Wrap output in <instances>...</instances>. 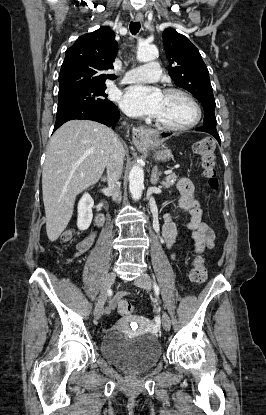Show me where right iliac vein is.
I'll list each match as a JSON object with an SVG mask.
<instances>
[{"label": "right iliac vein", "mask_w": 266, "mask_h": 415, "mask_svg": "<svg viewBox=\"0 0 266 415\" xmlns=\"http://www.w3.org/2000/svg\"><path fill=\"white\" fill-rule=\"evenodd\" d=\"M115 279H116V274L114 272H110L106 275L102 283L100 295H99L98 301L94 309V316L96 319H99L101 315L103 314L104 303L106 301L107 292L109 288L111 287V285L114 283Z\"/></svg>", "instance_id": "1"}]
</instances>
